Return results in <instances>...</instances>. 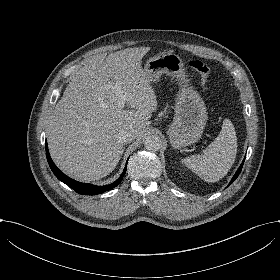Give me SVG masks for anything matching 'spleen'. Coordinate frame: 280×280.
Returning <instances> with one entry per match:
<instances>
[{"instance_id": "obj_1", "label": "spleen", "mask_w": 280, "mask_h": 280, "mask_svg": "<svg viewBox=\"0 0 280 280\" xmlns=\"http://www.w3.org/2000/svg\"><path fill=\"white\" fill-rule=\"evenodd\" d=\"M237 154V137L234 125L224 119L216 139L201 155H192L181 162L206 182H217L227 175Z\"/></svg>"}]
</instances>
